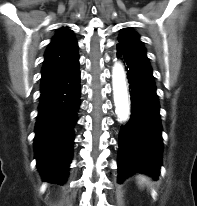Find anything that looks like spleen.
I'll return each mask as SVG.
<instances>
[{
  "instance_id": "1",
  "label": "spleen",
  "mask_w": 197,
  "mask_h": 206,
  "mask_svg": "<svg viewBox=\"0 0 197 206\" xmlns=\"http://www.w3.org/2000/svg\"><path fill=\"white\" fill-rule=\"evenodd\" d=\"M138 184L141 188H143L145 185L150 184V180L145 176H139L138 177Z\"/></svg>"
}]
</instances>
